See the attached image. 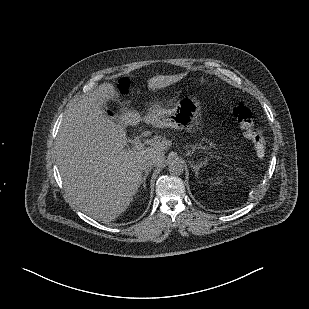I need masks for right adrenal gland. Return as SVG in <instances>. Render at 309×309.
<instances>
[{
    "mask_svg": "<svg viewBox=\"0 0 309 309\" xmlns=\"http://www.w3.org/2000/svg\"><path fill=\"white\" fill-rule=\"evenodd\" d=\"M149 172H146L145 175L142 178V185L144 187V189H146V178L148 177Z\"/></svg>",
    "mask_w": 309,
    "mask_h": 309,
    "instance_id": "1",
    "label": "right adrenal gland"
}]
</instances>
